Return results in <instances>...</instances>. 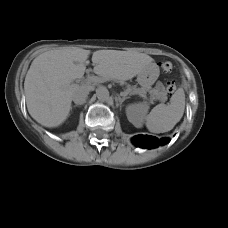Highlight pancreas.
I'll return each mask as SVG.
<instances>
[{
  "label": "pancreas",
  "mask_w": 228,
  "mask_h": 228,
  "mask_svg": "<svg viewBox=\"0 0 228 228\" xmlns=\"http://www.w3.org/2000/svg\"><path fill=\"white\" fill-rule=\"evenodd\" d=\"M148 90L147 89H144V88H136L134 86H127V89H126V93H130V94H144L147 92ZM151 96L153 99H161L162 97V93L158 92V90H149Z\"/></svg>",
  "instance_id": "pancreas-1"
}]
</instances>
